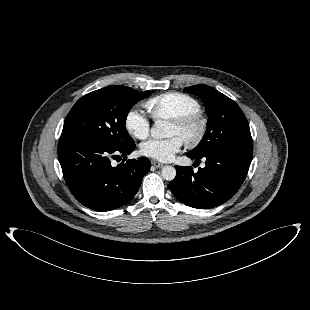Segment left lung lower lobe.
I'll return each instance as SVG.
<instances>
[{"mask_svg":"<svg viewBox=\"0 0 310 310\" xmlns=\"http://www.w3.org/2000/svg\"><path fill=\"white\" fill-rule=\"evenodd\" d=\"M189 158L206 166L194 172L192 167L176 166L177 175L169 183L173 195L182 203L201 209L219 206L229 200L244 182L252 160V146H233Z\"/></svg>","mask_w":310,"mask_h":310,"instance_id":"0a47b994","label":"left lung lower lobe"}]
</instances>
